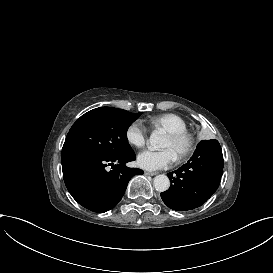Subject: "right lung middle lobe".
Wrapping results in <instances>:
<instances>
[{
	"mask_svg": "<svg viewBox=\"0 0 273 273\" xmlns=\"http://www.w3.org/2000/svg\"><path fill=\"white\" fill-rule=\"evenodd\" d=\"M139 115L113 107L90 110L71 127L61 160L77 155L117 156L131 151L126 131Z\"/></svg>",
	"mask_w": 273,
	"mask_h": 273,
	"instance_id": "obj_1",
	"label": "right lung middle lobe"
}]
</instances>
